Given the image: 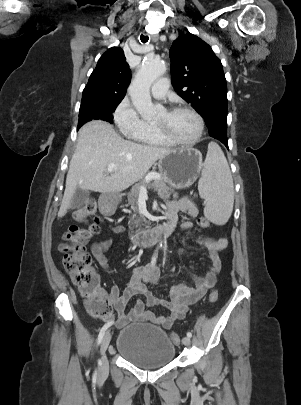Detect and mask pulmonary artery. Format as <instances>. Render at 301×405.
<instances>
[{
    "instance_id": "e3ab8cb5",
    "label": "pulmonary artery",
    "mask_w": 301,
    "mask_h": 405,
    "mask_svg": "<svg viewBox=\"0 0 301 405\" xmlns=\"http://www.w3.org/2000/svg\"><path fill=\"white\" fill-rule=\"evenodd\" d=\"M169 80L168 78H160L151 86V93L155 98L162 99L168 93Z\"/></svg>"
}]
</instances>
